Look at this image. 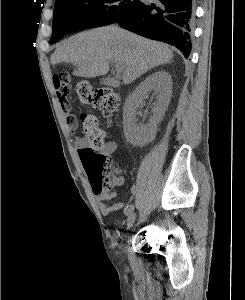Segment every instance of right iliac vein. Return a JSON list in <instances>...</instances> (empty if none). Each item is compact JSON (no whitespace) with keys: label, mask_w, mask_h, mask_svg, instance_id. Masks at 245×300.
Returning <instances> with one entry per match:
<instances>
[{"label":"right iliac vein","mask_w":245,"mask_h":300,"mask_svg":"<svg viewBox=\"0 0 245 300\" xmlns=\"http://www.w3.org/2000/svg\"><path fill=\"white\" fill-rule=\"evenodd\" d=\"M135 219H136V213L132 211L128 215V218H127V224H128V226H132L133 223L135 222Z\"/></svg>","instance_id":"right-iliac-vein-1"}]
</instances>
